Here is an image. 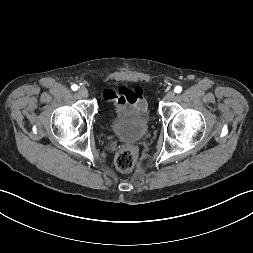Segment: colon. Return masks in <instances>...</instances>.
Masks as SVG:
<instances>
[{"label": "colon", "instance_id": "obj_1", "mask_svg": "<svg viewBox=\"0 0 253 253\" xmlns=\"http://www.w3.org/2000/svg\"><path fill=\"white\" fill-rule=\"evenodd\" d=\"M136 156L131 146L123 147L116 155V168L122 173H129L134 169Z\"/></svg>", "mask_w": 253, "mask_h": 253}]
</instances>
